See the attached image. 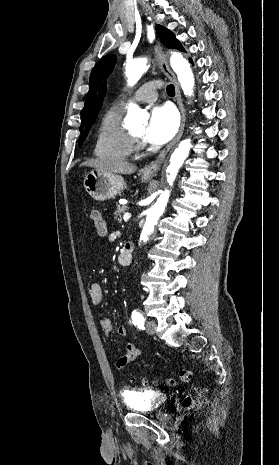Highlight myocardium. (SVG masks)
Returning a JSON list of instances; mask_svg holds the SVG:
<instances>
[{
    "label": "myocardium",
    "instance_id": "1",
    "mask_svg": "<svg viewBox=\"0 0 279 465\" xmlns=\"http://www.w3.org/2000/svg\"><path fill=\"white\" fill-rule=\"evenodd\" d=\"M130 137L134 150H143L145 148V142L142 137L130 132Z\"/></svg>",
    "mask_w": 279,
    "mask_h": 465
}]
</instances>
